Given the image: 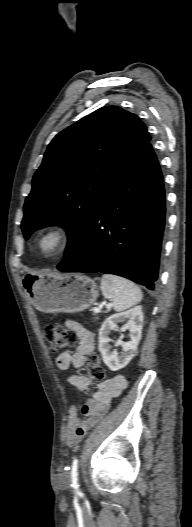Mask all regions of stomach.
<instances>
[{
	"label": "stomach",
	"mask_w": 192,
	"mask_h": 527,
	"mask_svg": "<svg viewBox=\"0 0 192 527\" xmlns=\"http://www.w3.org/2000/svg\"><path fill=\"white\" fill-rule=\"evenodd\" d=\"M24 287L34 307L44 313H77L97 299L98 286L81 274H35L24 278Z\"/></svg>",
	"instance_id": "1"
}]
</instances>
